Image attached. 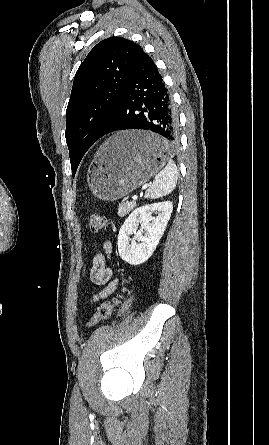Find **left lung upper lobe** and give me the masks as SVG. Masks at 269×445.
<instances>
[{
    "label": "left lung upper lobe",
    "instance_id": "obj_1",
    "mask_svg": "<svg viewBox=\"0 0 269 445\" xmlns=\"http://www.w3.org/2000/svg\"><path fill=\"white\" fill-rule=\"evenodd\" d=\"M143 49L122 37L102 40L78 68L66 110V142L72 174L113 118Z\"/></svg>",
    "mask_w": 269,
    "mask_h": 445
}]
</instances>
